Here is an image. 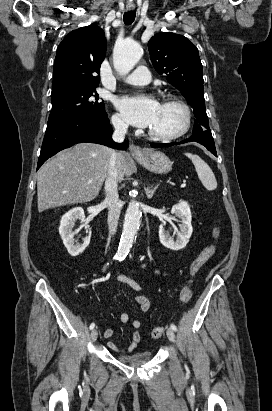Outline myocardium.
I'll return each instance as SVG.
<instances>
[{"instance_id":"obj_1","label":"myocardium","mask_w":272,"mask_h":411,"mask_svg":"<svg viewBox=\"0 0 272 411\" xmlns=\"http://www.w3.org/2000/svg\"><path fill=\"white\" fill-rule=\"evenodd\" d=\"M162 103L176 105L182 110L184 114L183 125L177 132L172 133V134H159V133L152 131L151 129H149L148 134L151 138L158 140V141H164V142L174 141L184 136L190 129L191 122H192V113H191L190 107L183 100L177 97L166 96L164 97Z\"/></svg>"}]
</instances>
